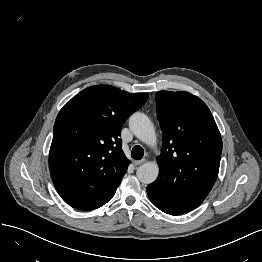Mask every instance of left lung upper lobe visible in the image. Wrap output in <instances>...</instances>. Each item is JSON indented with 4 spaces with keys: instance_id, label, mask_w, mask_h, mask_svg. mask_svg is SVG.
<instances>
[{
    "instance_id": "left-lung-upper-lobe-1",
    "label": "left lung upper lobe",
    "mask_w": 262,
    "mask_h": 262,
    "mask_svg": "<svg viewBox=\"0 0 262 262\" xmlns=\"http://www.w3.org/2000/svg\"><path fill=\"white\" fill-rule=\"evenodd\" d=\"M163 145L148 196L182 214L197 208L219 172L222 139L207 105L188 92L156 93Z\"/></svg>"
}]
</instances>
